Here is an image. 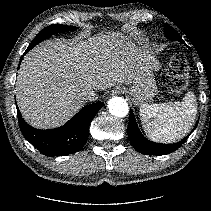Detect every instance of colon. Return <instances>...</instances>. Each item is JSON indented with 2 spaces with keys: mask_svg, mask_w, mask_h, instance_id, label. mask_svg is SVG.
I'll use <instances>...</instances> for the list:
<instances>
[{
  "mask_svg": "<svg viewBox=\"0 0 211 211\" xmlns=\"http://www.w3.org/2000/svg\"><path fill=\"white\" fill-rule=\"evenodd\" d=\"M164 82L173 93L180 94L186 91L189 77L187 60L184 54L178 52L169 59Z\"/></svg>",
  "mask_w": 211,
  "mask_h": 211,
  "instance_id": "obj_1",
  "label": "colon"
}]
</instances>
